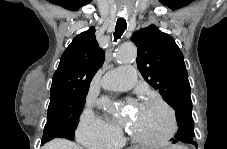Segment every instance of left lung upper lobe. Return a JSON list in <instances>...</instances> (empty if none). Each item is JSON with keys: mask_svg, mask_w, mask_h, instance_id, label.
<instances>
[{"mask_svg": "<svg viewBox=\"0 0 227 149\" xmlns=\"http://www.w3.org/2000/svg\"><path fill=\"white\" fill-rule=\"evenodd\" d=\"M131 41L138 48L137 67L143 78L176 111L179 130L175 138L194 137L188 73L174 39L152 24L136 31Z\"/></svg>", "mask_w": 227, "mask_h": 149, "instance_id": "left-lung-upper-lobe-1", "label": "left lung upper lobe"}]
</instances>
